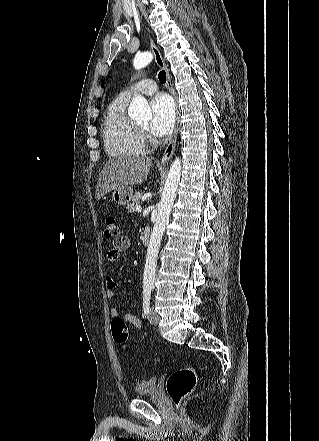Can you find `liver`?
<instances>
[{"instance_id": "liver-1", "label": "liver", "mask_w": 319, "mask_h": 441, "mask_svg": "<svg viewBox=\"0 0 319 441\" xmlns=\"http://www.w3.org/2000/svg\"><path fill=\"white\" fill-rule=\"evenodd\" d=\"M152 166V159L145 156L116 157L109 159L101 171L95 198L99 200L110 191L142 183Z\"/></svg>"}]
</instances>
